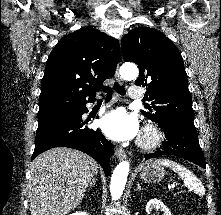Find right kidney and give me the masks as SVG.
I'll return each instance as SVG.
<instances>
[{
  "instance_id": "right-kidney-1",
  "label": "right kidney",
  "mask_w": 221,
  "mask_h": 215,
  "mask_svg": "<svg viewBox=\"0 0 221 215\" xmlns=\"http://www.w3.org/2000/svg\"><path fill=\"white\" fill-rule=\"evenodd\" d=\"M70 215H88L86 212H78Z\"/></svg>"
}]
</instances>
